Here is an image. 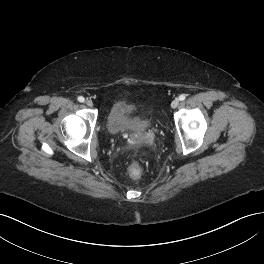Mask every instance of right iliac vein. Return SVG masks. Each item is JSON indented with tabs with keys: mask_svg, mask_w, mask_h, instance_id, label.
<instances>
[{
	"mask_svg": "<svg viewBox=\"0 0 264 264\" xmlns=\"http://www.w3.org/2000/svg\"><path fill=\"white\" fill-rule=\"evenodd\" d=\"M85 104L88 106V107H92L93 106V102H92V100H86L85 101Z\"/></svg>",
	"mask_w": 264,
	"mask_h": 264,
	"instance_id": "obj_1",
	"label": "right iliac vein"
}]
</instances>
